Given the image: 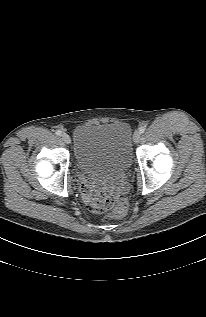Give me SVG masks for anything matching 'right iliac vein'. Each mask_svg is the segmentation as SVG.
Segmentation results:
<instances>
[{
    "label": "right iliac vein",
    "mask_w": 206,
    "mask_h": 317,
    "mask_svg": "<svg viewBox=\"0 0 206 317\" xmlns=\"http://www.w3.org/2000/svg\"><path fill=\"white\" fill-rule=\"evenodd\" d=\"M61 138H62V140H63L66 144H70L71 139H70V136H69L68 134L63 133V134L61 135Z\"/></svg>",
    "instance_id": "1"
}]
</instances>
